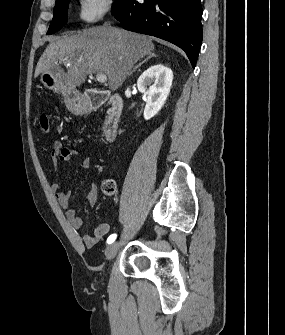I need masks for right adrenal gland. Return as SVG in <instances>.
Wrapping results in <instances>:
<instances>
[{
    "instance_id": "2a0ac1e0",
    "label": "right adrenal gland",
    "mask_w": 285,
    "mask_h": 335,
    "mask_svg": "<svg viewBox=\"0 0 285 335\" xmlns=\"http://www.w3.org/2000/svg\"><path fill=\"white\" fill-rule=\"evenodd\" d=\"M151 58H155L154 54H149L148 58H145V60H143V62H139V64H137V66H135V68H133L132 72H136L137 68H141V66H143V64H146V62H148V60H151ZM132 72H130V74H128V76H131Z\"/></svg>"
}]
</instances>
